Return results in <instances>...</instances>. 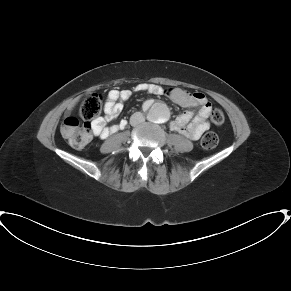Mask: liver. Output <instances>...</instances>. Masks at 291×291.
<instances>
[{
  "instance_id": "6515ba94",
  "label": "liver",
  "mask_w": 291,
  "mask_h": 291,
  "mask_svg": "<svg viewBox=\"0 0 291 291\" xmlns=\"http://www.w3.org/2000/svg\"><path fill=\"white\" fill-rule=\"evenodd\" d=\"M79 99H75L74 101H72L69 106H68V110H72L73 107L76 105V103L78 102Z\"/></svg>"
}]
</instances>
